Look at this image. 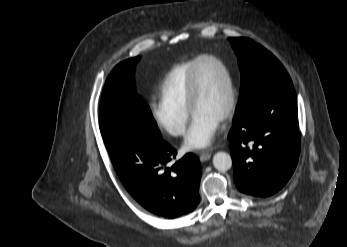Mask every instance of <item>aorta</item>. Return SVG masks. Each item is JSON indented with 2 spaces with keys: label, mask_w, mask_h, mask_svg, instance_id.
<instances>
[{
  "label": "aorta",
  "mask_w": 347,
  "mask_h": 247,
  "mask_svg": "<svg viewBox=\"0 0 347 247\" xmlns=\"http://www.w3.org/2000/svg\"><path fill=\"white\" fill-rule=\"evenodd\" d=\"M214 167L221 172H225L232 167V158L226 152H217L213 157Z\"/></svg>",
  "instance_id": "obj_1"
}]
</instances>
